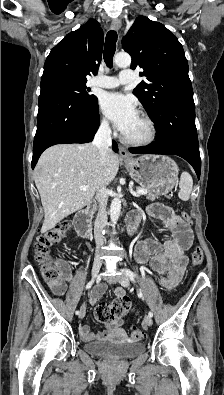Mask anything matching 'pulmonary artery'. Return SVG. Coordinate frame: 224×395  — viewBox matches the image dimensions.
Instances as JSON below:
<instances>
[{
    "mask_svg": "<svg viewBox=\"0 0 224 395\" xmlns=\"http://www.w3.org/2000/svg\"><path fill=\"white\" fill-rule=\"evenodd\" d=\"M134 79L133 71L129 69L122 70L118 77L99 76L92 81V85L100 88H115L119 85L128 84Z\"/></svg>",
    "mask_w": 224,
    "mask_h": 395,
    "instance_id": "obj_1",
    "label": "pulmonary artery"
}]
</instances>
